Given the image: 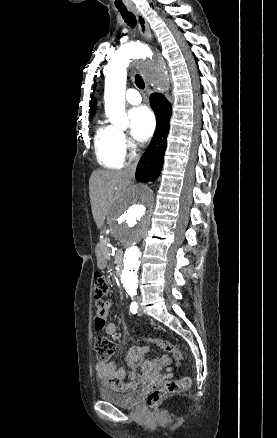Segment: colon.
<instances>
[{
  "instance_id": "obj_1",
  "label": "colon",
  "mask_w": 277,
  "mask_h": 438,
  "mask_svg": "<svg viewBox=\"0 0 277 438\" xmlns=\"http://www.w3.org/2000/svg\"><path fill=\"white\" fill-rule=\"evenodd\" d=\"M95 291L94 298L96 300V318L103 324L106 323V317L109 309V303L103 300L108 292L109 286L105 275L101 271L95 272L94 275ZM163 348L172 353L173 356L181 361L185 357L182 349L174 347L166 342H159ZM95 349L97 351V358L99 361L108 360L116 350L115 343L106 335H98L95 338ZM191 379L188 376L167 380L163 389H150L149 393L145 394V408L159 409L160 402L164 398H176L177 394L190 386Z\"/></svg>"
}]
</instances>
